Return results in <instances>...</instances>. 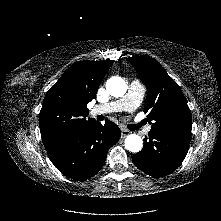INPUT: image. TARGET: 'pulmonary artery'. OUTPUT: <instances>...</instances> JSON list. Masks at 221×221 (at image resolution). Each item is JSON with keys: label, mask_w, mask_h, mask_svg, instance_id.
<instances>
[{"label": "pulmonary artery", "mask_w": 221, "mask_h": 221, "mask_svg": "<svg viewBox=\"0 0 221 221\" xmlns=\"http://www.w3.org/2000/svg\"><path fill=\"white\" fill-rule=\"evenodd\" d=\"M145 93V87L139 81H133L127 93L120 99L112 101L103 105L95 106L91 113L92 114H105L112 113L117 111H134L139 104L141 103ZM151 129L150 126L145 128L146 132H149Z\"/></svg>", "instance_id": "obj_1"}]
</instances>
